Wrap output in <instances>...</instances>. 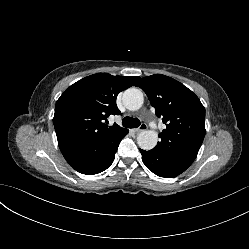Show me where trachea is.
<instances>
[{"label": "trachea", "instance_id": "1", "mask_svg": "<svg viewBox=\"0 0 249 249\" xmlns=\"http://www.w3.org/2000/svg\"><path fill=\"white\" fill-rule=\"evenodd\" d=\"M122 124L126 128H137L141 122L137 118L125 117L122 121Z\"/></svg>", "mask_w": 249, "mask_h": 249}]
</instances>
